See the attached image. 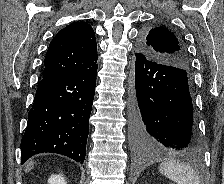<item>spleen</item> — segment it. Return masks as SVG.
Instances as JSON below:
<instances>
[{"instance_id":"3e777b00","label":"spleen","mask_w":224,"mask_h":184,"mask_svg":"<svg viewBox=\"0 0 224 184\" xmlns=\"http://www.w3.org/2000/svg\"><path fill=\"white\" fill-rule=\"evenodd\" d=\"M160 172L177 184H200L197 173L187 164L166 161L160 164Z\"/></svg>"}]
</instances>
